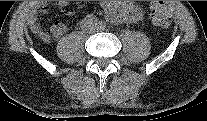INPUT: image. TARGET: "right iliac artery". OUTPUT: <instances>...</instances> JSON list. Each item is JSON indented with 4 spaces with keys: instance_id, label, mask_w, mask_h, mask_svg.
Instances as JSON below:
<instances>
[{
    "instance_id": "82829eb1",
    "label": "right iliac artery",
    "mask_w": 207,
    "mask_h": 121,
    "mask_svg": "<svg viewBox=\"0 0 207 121\" xmlns=\"http://www.w3.org/2000/svg\"><path fill=\"white\" fill-rule=\"evenodd\" d=\"M86 19L91 23V24H97L98 23V19H97V17L96 16H94V15H87V17H86Z\"/></svg>"
}]
</instances>
